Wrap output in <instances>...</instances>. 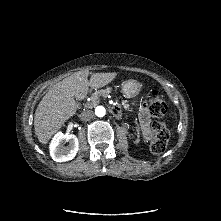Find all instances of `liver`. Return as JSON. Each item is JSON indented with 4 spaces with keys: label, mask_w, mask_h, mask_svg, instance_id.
<instances>
[{
    "label": "liver",
    "mask_w": 221,
    "mask_h": 221,
    "mask_svg": "<svg viewBox=\"0 0 221 221\" xmlns=\"http://www.w3.org/2000/svg\"><path fill=\"white\" fill-rule=\"evenodd\" d=\"M88 75V70L75 72L51 87L42 98L34 116L35 134L41 144H47L76 113V100L84 99L89 87L101 88L111 83L117 73H94L90 80Z\"/></svg>",
    "instance_id": "liver-1"
}]
</instances>
